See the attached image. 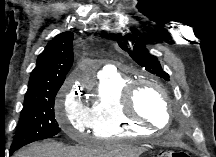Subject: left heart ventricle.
Wrapping results in <instances>:
<instances>
[{
	"instance_id": "obj_1",
	"label": "left heart ventricle",
	"mask_w": 216,
	"mask_h": 157,
	"mask_svg": "<svg viewBox=\"0 0 216 157\" xmlns=\"http://www.w3.org/2000/svg\"><path fill=\"white\" fill-rule=\"evenodd\" d=\"M135 107L140 115L153 123L163 126L167 121V113L159 91L151 86L143 85L135 99Z\"/></svg>"
}]
</instances>
